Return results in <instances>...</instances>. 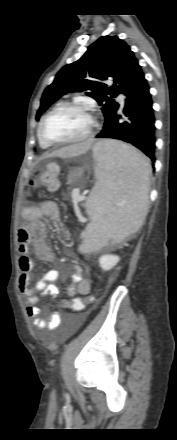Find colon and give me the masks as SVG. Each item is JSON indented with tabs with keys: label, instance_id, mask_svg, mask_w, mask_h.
I'll list each match as a JSON object with an SVG mask.
<instances>
[{
	"label": "colon",
	"instance_id": "obj_1",
	"mask_svg": "<svg viewBox=\"0 0 177 440\" xmlns=\"http://www.w3.org/2000/svg\"><path fill=\"white\" fill-rule=\"evenodd\" d=\"M58 167L56 165H51L47 170L40 172L37 176L30 180L31 186H45L49 190H56L59 186L58 181ZM93 298H90L89 301H92ZM58 308L61 311H65L68 308V311H84L85 309V298H61L59 300Z\"/></svg>",
	"mask_w": 177,
	"mask_h": 440
}]
</instances>
